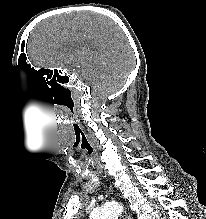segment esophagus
<instances>
[{"instance_id":"obj_1","label":"esophagus","mask_w":206,"mask_h":219,"mask_svg":"<svg viewBox=\"0 0 206 219\" xmlns=\"http://www.w3.org/2000/svg\"><path fill=\"white\" fill-rule=\"evenodd\" d=\"M124 216H125V219H133V218H132V216H131V215H129V214H127V213H125V215H124Z\"/></svg>"}]
</instances>
